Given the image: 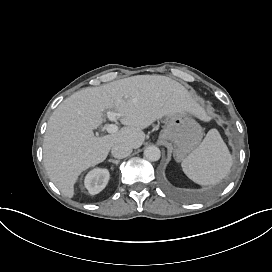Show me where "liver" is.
Instances as JSON below:
<instances>
[{
  "label": "liver",
  "instance_id": "6515ba94",
  "mask_svg": "<svg viewBox=\"0 0 272 272\" xmlns=\"http://www.w3.org/2000/svg\"><path fill=\"white\" fill-rule=\"evenodd\" d=\"M106 109L119 112L125 126L97 137L93 130L103 123ZM176 112L202 118L201 107L188 90L161 75H137L75 92L54 110L44 135L43 161L50 180L72 198L81 172L103 162L115 144L139 148L145 140L142 129Z\"/></svg>",
  "mask_w": 272,
  "mask_h": 272
}]
</instances>
